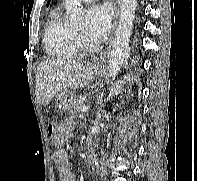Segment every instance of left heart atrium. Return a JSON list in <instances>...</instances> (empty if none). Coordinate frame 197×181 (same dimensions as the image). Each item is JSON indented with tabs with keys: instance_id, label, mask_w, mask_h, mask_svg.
<instances>
[{
	"instance_id": "obj_1",
	"label": "left heart atrium",
	"mask_w": 197,
	"mask_h": 181,
	"mask_svg": "<svg viewBox=\"0 0 197 181\" xmlns=\"http://www.w3.org/2000/svg\"><path fill=\"white\" fill-rule=\"evenodd\" d=\"M87 35L94 42L102 41L109 33L112 12L108 5H94L88 11Z\"/></svg>"
}]
</instances>
